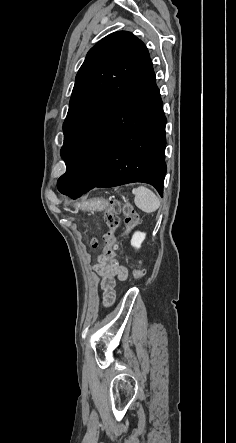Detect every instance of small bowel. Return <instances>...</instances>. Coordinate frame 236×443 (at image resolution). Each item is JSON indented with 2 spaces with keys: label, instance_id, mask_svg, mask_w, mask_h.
Segmentation results:
<instances>
[{
  "label": "small bowel",
  "instance_id": "obj_1",
  "mask_svg": "<svg viewBox=\"0 0 236 443\" xmlns=\"http://www.w3.org/2000/svg\"><path fill=\"white\" fill-rule=\"evenodd\" d=\"M94 269L102 278L101 287L103 289L104 303L110 305L115 299L114 278L117 277L119 280H125L128 276V271L116 259L107 258L105 255L99 257V261Z\"/></svg>",
  "mask_w": 236,
  "mask_h": 443
}]
</instances>
